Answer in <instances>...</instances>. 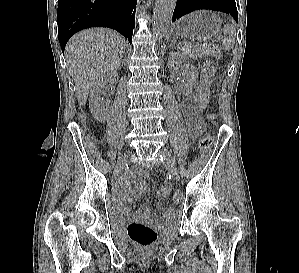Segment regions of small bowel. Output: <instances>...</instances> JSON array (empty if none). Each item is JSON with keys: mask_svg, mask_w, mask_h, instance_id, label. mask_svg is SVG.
I'll list each match as a JSON object with an SVG mask.
<instances>
[{"mask_svg": "<svg viewBox=\"0 0 299 273\" xmlns=\"http://www.w3.org/2000/svg\"><path fill=\"white\" fill-rule=\"evenodd\" d=\"M182 111L184 118L188 127L190 134L195 137L198 130L201 128V119L200 114L196 113L195 110V100L192 97H187L182 103ZM146 177V173L143 171H138L131 174L123 183V185L117 191V202L120 208V211L124 214L128 213L126 208V203L133 200L136 197V194L132 192V188H138L140 192L146 193L150 190L148 184H146L143 179ZM171 187L169 185H164L161 187L157 193L158 198L162 201L164 200L169 192ZM161 214L166 220H171L175 216V210L172 207L164 206L161 209ZM136 218L141 220L155 221L152 216L151 210L147 206H143Z\"/></svg>", "mask_w": 299, "mask_h": 273, "instance_id": "obj_1", "label": "small bowel"}]
</instances>
